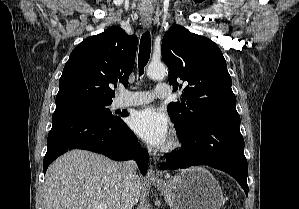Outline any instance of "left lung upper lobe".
Returning <instances> with one entry per match:
<instances>
[{
    "label": "left lung upper lobe",
    "mask_w": 299,
    "mask_h": 209,
    "mask_svg": "<svg viewBox=\"0 0 299 209\" xmlns=\"http://www.w3.org/2000/svg\"><path fill=\"white\" fill-rule=\"evenodd\" d=\"M162 60L173 90L184 88L181 102L168 105L177 133L196 128L214 113L236 110L225 58L212 40L174 25L163 37Z\"/></svg>",
    "instance_id": "obj_1"
}]
</instances>
